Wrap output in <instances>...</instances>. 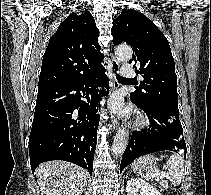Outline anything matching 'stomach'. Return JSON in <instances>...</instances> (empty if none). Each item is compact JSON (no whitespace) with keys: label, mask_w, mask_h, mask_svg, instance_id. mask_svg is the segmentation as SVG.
<instances>
[{"label":"stomach","mask_w":211,"mask_h":195,"mask_svg":"<svg viewBox=\"0 0 211 195\" xmlns=\"http://www.w3.org/2000/svg\"><path fill=\"white\" fill-rule=\"evenodd\" d=\"M157 158L151 154L142 156L138 158L133 164L132 167L137 171H151L156 168Z\"/></svg>","instance_id":"0dacf381"}]
</instances>
